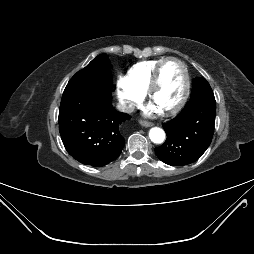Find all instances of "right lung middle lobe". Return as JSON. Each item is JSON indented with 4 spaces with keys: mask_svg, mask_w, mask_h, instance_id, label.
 I'll return each instance as SVG.
<instances>
[{
    "mask_svg": "<svg viewBox=\"0 0 254 254\" xmlns=\"http://www.w3.org/2000/svg\"><path fill=\"white\" fill-rule=\"evenodd\" d=\"M112 87L109 58L106 54H100L70 79L65 90L87 88L93 92L104 93L110 92Z\"/></svg>",
    "mask_w": 254,
    "mask_h": 254,
    "instance_id": "obj_1",
    "label": "right lung middle lobe"
}]
</instances>
